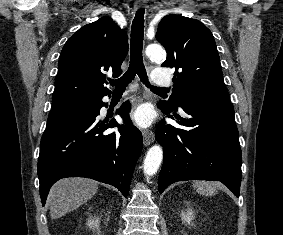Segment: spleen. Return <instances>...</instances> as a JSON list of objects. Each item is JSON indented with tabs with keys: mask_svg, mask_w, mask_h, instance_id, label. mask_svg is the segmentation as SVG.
Returning <instances> with one entry per match:
<instances>
[{
	"mask_svg": "<svg viewBox=\"0 0 283 235\" xmlns=\"http://www.w3.org/2000/svg\"><path fill=\"white\" fill-rule=\"evenodd\" d=\"M217 182L208 181H196L193 183V187L202 195L211 196L217 192Z\"/></svg>",
	"mask_w": 283,
	"mask_h": 235,
	"instance_id": "3e777b00",
	"label": "spleen"
}]
</instances>
